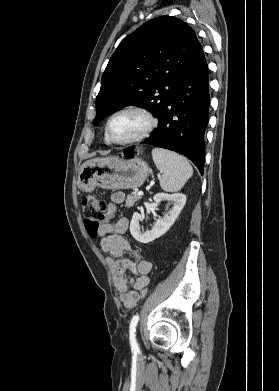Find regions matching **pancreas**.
<instances>
[{
	"instance_id": "1",
	"label": "pancreas",
	"mask_w": 279,
	"mask_h": 391,
	"mask_svg": "<svg viewBox=\"0 0 279 391\" xmlns=\"http://www.w3.org/2000/svg\"><path fill=\"white\" fill-rule=\"evenodd\" d=\"M140 199H141V196L138 195L136 192H133L131 195L127 196L126 206L131 207L135 204L136 201H138Z\"/></svg>"
}]
</instances>
